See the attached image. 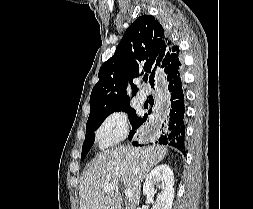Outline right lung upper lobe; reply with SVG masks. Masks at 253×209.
<instances>
[{
    "label": "right lung upper lobe",
    "instance_id": "cb5924a9",
    "mask_svg": "<svg viewBox=\"0 0 253 209\" xmlns=\"http://www.w3.org/2000/svg\"><path fill=\"white\" fill-rule=\"evenodd\" d=\"M179 47L174 45L163 27L150 15L137 18L125 31L114 55L99 70V81L90 96V115L130 106L126 88L131 84L133 95L137 87L132 80L148 77L154 87V76L160 67L165 76L181 70Z\"/></svg>",
    "mask_w": 253,
    "mask_h": 209
}]
</instances>
